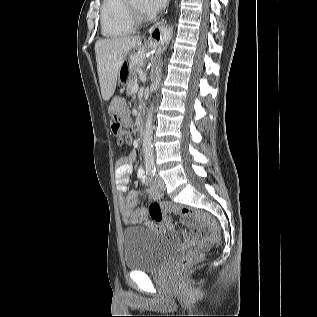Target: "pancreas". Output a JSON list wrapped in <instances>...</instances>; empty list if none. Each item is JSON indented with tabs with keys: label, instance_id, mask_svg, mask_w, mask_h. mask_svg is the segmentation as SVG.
Segmentation results:
<instances>
[{
	"label": "pancreas",
	"instance_id": "1",
	"mask_svg": "<svg viewBox=\"0 0 317 317\" xmlns=\"http://www.w3.org/2000/svg\"><path fill=\"white\" fill-rule=\"evenodd\" d=\"M136 83H137V78H136L135 73L133 72L132 75L129 78L128 85H127V88H126V91H127L128 95H131L135 91V88L137 86Z\"/></svg>",
	"mask_w": 317,
	"mask_h": 317
}]
</instances>
